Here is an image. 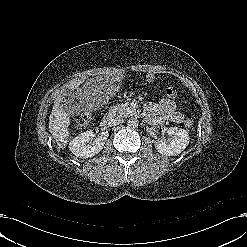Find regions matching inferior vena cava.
I'll return each instance as SVG.
<instances>
[{
	"mask_svg": "<svg viewBox=\"0 0 247 247\" xmlns=\"http://www.w3.org/2000/svg\"><path fill=\"white\" fill-rule=\"evenodd\" d=\"M123 123V119L117 116L108 115V125L109 126H116Z\"/></svg>",
	"mask_w": 247,
	"mask_h": 247,
	"instance_id": "obj_1",
	"label": "inferior vena cava"
}]
</instances>
